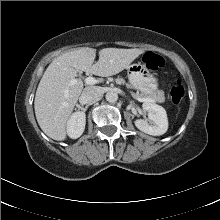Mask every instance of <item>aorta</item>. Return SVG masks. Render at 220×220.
I'll return each mask as SVG.
<instances>
[{
  "label": "aorta",
  "mask_w": 220,
  "mask_h": 220,
  "mask_svg": "<svg viewBox=\"0 0 220 220\" xmlns=\"http://www.w3.org/2000/svg\"><path fill=\"white\" fill-rule=\"evenodd\" d=\"M105 98L109 103H114L118 100V94L113 91H109L106 93Z\"/></svg>",
  "instance_id": "762f6f07"
}]
</instances>
